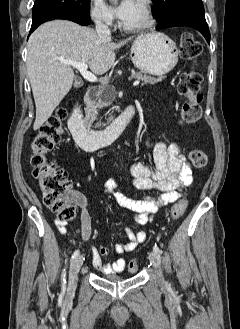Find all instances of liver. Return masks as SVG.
Here are the masks:
<instances>
[{
    "label": "liver",
    "mask_w": 240,
    "mask_h": 329,
    "mask_svg": "<svg viewBox=\"0 0 240 329\" xmlns=\"http://www.w3.org/2000/svg\"><path fill=\"white\" fill-rule=\"evenodd\" d=\"M130 40L114 43L88 27L65 20L38 27L29 38L26 62L36 105L33 129L50 118L72 87L74 71L61 59L86 63L93 73L104 74L114 64V51Z\"/></svg>",
    "instance_id": "liver-1"
}]
</instances>
